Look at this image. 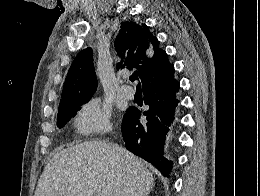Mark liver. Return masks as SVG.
I'll return each mask as SVG.
<instances>
[{
    "mask_svg": "<svg viewBox=\"0 0 260 196\" xmlns=\"http://www.w3.org/2000/svg\"><path fill=\"white\" fill-rule=\"evenodd\" d=\"M148 164L122 146L82 142L54 154L34 196H147L154 186Z\"/></svg>",
    "mask_w": 260,
    "mask_h": 196,
    "instance_id": "1",
    "label": "liver"
}]
</instances>
